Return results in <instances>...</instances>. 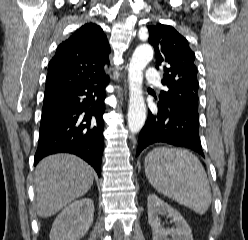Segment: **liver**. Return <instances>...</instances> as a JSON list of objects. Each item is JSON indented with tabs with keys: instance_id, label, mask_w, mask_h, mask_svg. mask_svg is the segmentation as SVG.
Masks as SVG:
<instances>
[{
	"instance_id": "liver-1",
	"label": "liver",
	"mask_w": 248,
	"mask_h": 240,
	"mask_svg": "<svg viewBox=\"0 0 248 240\" xmlns=\"http://www.w3.org/2000/svg\"><path fill=\"white\" fill-rule=\"evenodd\" d=\"M93 170L82 159L70 154L51 155L35 170L36 210L39 217H50L88 192Z\"/></svg>"
}]
</instances>
